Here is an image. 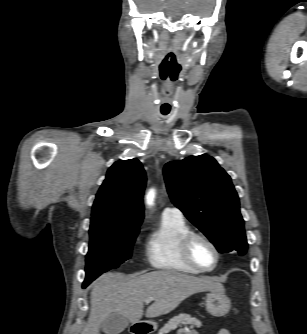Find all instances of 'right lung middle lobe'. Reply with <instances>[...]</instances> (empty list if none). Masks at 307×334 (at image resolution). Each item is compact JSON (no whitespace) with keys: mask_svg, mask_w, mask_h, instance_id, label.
Returning <instances> with one entry per match:
<instances>
[{"mask_svg":"<svg viewBox=\"0 0 307 334\" xmlns=\"http://www.w3.org/2000/svg\"><path fill=\"white\" fill-rule=\"evenodd\" d=\"M140 224H101L90 227L89 251L86 255L87 286L103 272L117 268L132 255V246Z\"/></svg>","mask_w":307,"mask_h":334,"instance_id":"right-lung-middle-lobe-1","label":"right lung middle lobe"}]
</instances>
